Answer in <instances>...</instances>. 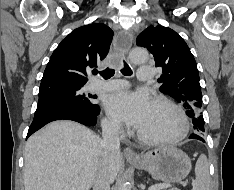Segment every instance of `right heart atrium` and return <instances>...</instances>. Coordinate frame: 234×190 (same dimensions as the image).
<instances>
[{"mask_svg": "<svg viewBox=\"0 0 234 190\" xmlns=\"http://www.w3.org/2000/svg\"><path fill=\"white\" fill-rule=\"evenodd\" d=\"M104 128L107 131L113 132V133H120L122 131L121 125L113 119H105Z\"/></svg>", "mask_w": 234, "mask_h": 190, "instance_id": "right-heart-atrium-1", "label": "right heart atrium"}]
</instances>
